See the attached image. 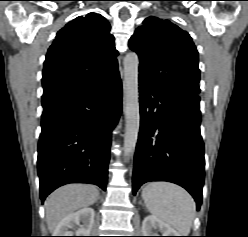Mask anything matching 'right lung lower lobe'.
<instances>
[{
	"label": "right lung lower lobe",
	"mask_w": 248,
	"mask_h": 237,
	"mask_svg": "<svg viewBox=\"0 0 248 237\" xmlns=\"http://www.w3.org/2000/svg\"><path fill=\"white\" fill-rule=\"evenodd\" d=\"M118 70L93 83L42 96L40 197L68 183L106 190L111 133L122 110Z\"/></svg>",
	"instance_id": "1"
}]
</instances>
